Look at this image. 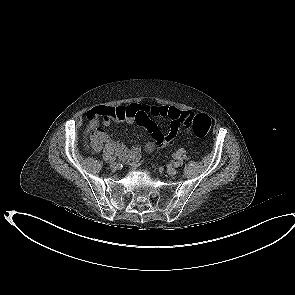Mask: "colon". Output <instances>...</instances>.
<instances>
[{"instance_id":"5ec220e1","label":"colon","mask_w":295,"mask_h":295,"mask_svg":"<svg viewBox=\"0 0 295 295\" xmlns=\"http://www.w3.org/2000/svg\"><path fill=\"white\" fill-rule=\"evenodd\" d=\"M179 121L182 126L191 128L198 137H204L209 132L211 127L210 117L203 113H192L190 115L182 114L179 117ZM156 148L157 142L155 140H150L144 147V152L146 154H151Z\"/></svg>"}]
</instances>
